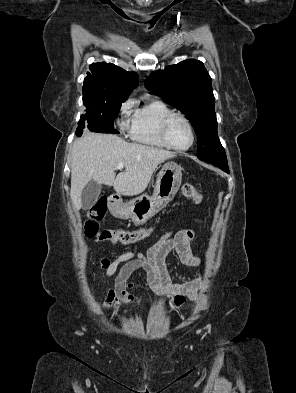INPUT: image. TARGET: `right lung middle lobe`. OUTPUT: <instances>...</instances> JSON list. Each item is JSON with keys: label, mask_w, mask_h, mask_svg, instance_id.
<instances>
[{"label": "right lung middle lobe", "mask_w": 296, "mask_h": 393, "mask_svg": "<svg viewBox=\"0 0 296 393\" xmlns=\"http://www.w3.org/2000/svg\"><path fill=\"white\" fill-rule=\"evenodd\" d=\"M126 99L84 101L86 113L81 116L79 125H95L114 129V119L117 117L122 102Z\"/></svg>", "instance_id": "right-lung-middle-lobe-1"}]
</instances>
